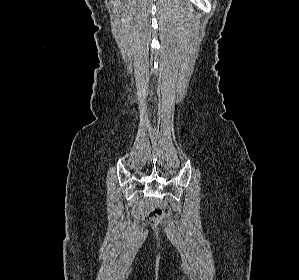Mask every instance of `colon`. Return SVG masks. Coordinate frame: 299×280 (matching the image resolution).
Segmentation results:
<instances>
[{"label":"colon","instance_id":"colon-1","mask_svg":"<svg viewBox=\"0 0 299 280\" xmlns=\"http://www.w3.org/2000/svg\"><path fill=\"white\" fill-rule=\"evenodd\" d=\"M170 213L168 207L163 204L156 203L153 208L148 212V221L150 223H157Z\"/></svg>","mask_w":299,"mask_h":280}]
</instances>
